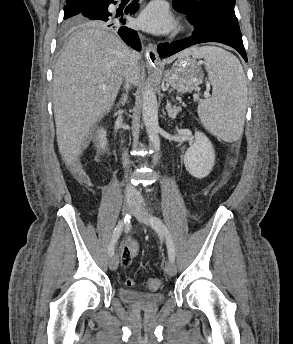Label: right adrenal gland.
<instances>
[{"mask_svg":"<svg viewBox=\"0 0 293 344\" xmlns=\"http://www.w3.org/2000/svg\"><path fill=\"white\" fill-rule=\"evenodd\" d=\"M126 101H127V94H124L122 100L120 101V105H125ZM117 107H119V105H117Z\"/></svg>","mask_w":293,"mask_h":344,"instance_id":"right-adrenal-gland-1","label":"right adrenal gland"}]
</instances>
